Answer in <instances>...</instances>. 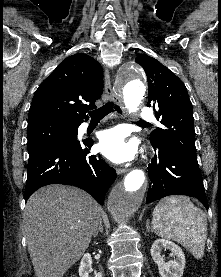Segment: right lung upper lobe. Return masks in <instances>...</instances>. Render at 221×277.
Masks as SVG:
<instances>
[{
  "label": "right lung upper lobe",
  "instance_id": "1",
  "mask_svg": "<svg viewBox=\"0 0 221 277\" xmlns=\"http://www.w3.org/2000/svg\"><path fill=\"white\" fill-rule=\"evenodd\" d=\"M103 92L102 67L80 53L67 57L38 87L28 114V125L62 122L78 125Z\"/></svg>",
  "mask_w": 221,
  "mask_h": 277
}]
</instances>
